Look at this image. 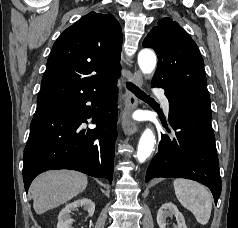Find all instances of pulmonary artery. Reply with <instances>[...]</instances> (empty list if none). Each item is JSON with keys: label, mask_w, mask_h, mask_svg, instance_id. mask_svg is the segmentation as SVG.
<instances>
[{"label": "pulmonary artery", "mask_w": 238, "mask_h": 228, "mask_svg": "<svg viewBox=\"0 0 238 228\" xmlns=\"http://www.w3.org/2000/svg\"><path fill=\"white\" fill-rule=\"evenodd\" d=\"M155 93H159L160 90L159 89H154ZM162 103H163V108L166 112L169 111V102L167 100V98L165 96H162Z\"/></svg>", "instance_id": "pulmonary-artery-1"}]
</instances>
